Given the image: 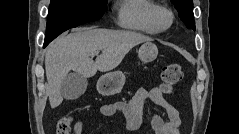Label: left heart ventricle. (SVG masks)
I'll return each instance as SVG.
<instances>
[{
  "instance_id": "obj_1",
  "label": "left heart ventricle",
  "mask_w": 239,
  "mask_h": 134,
  "mask_svg": "<svg viewBox=\"0 0 239 134\" xmlns=\"http://www.w3.org/2000/svg\"><path fill=\"white\" fill-rule=\"evenodd\" d=\"M162 22L165 23V22H166V18H163V19H162Z\"/></svg>"
}]
</instances>
